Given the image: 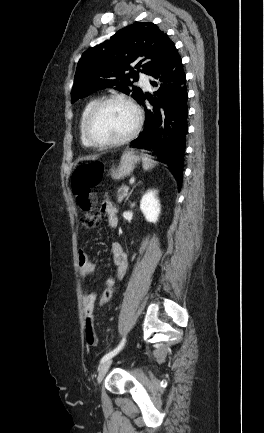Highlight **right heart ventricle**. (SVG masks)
Segmentation results:
<instances>
[{"mask_svg":"<svg viewBox=\"0 0 264 433\" xmlns=\"http://www.w3.org/2000/svg\"><path fill=\"white\" fill-rule=\"evenodd\" d=\"M95 102H96L95 99H91V100H89V101L85 104V106H84V108H83V110H82V112H81V115H80V119H79V132H80L81 142H82L84 145H89V144L87 143V141H86L84 135H83V122H84V118H85L87 112L90 110V108L95 104Z\"/></svg>","mask_w":264,"mask_h":433,"instance_id":"obj_1","label":"right heart ventricle"}]
</instances>
